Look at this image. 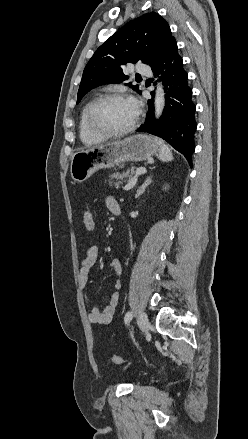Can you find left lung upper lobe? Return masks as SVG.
<instances>
[{
	"label": "left lung upper lobe",
	"instance_id": "5c2ea615",
	"mask_svg": "<svg viewBox=\"0 0 248 439\" xmlns=\"http://www.w3.org/2000/svg\"><path fill=\"white\" fill-rule=\"evenodd\" d=\"M173 42L168 23L158 13H147L128 22L103 43L87 63L77 103L97 86L127 80L122 70L127 63L142 61L153 67ZM129 86L141 93L138 85Z\"/></svg>",
	"mask_w": 248,
	"mask_h": 439
}]
</instances>
